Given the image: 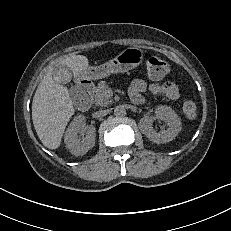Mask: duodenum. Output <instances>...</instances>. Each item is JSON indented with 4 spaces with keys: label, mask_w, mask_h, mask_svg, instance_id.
Instances as JSON below:
<instances>
[{
    "label": "duodenum",
    "mask_w": 231,
    "mask_h": 231,
    "mask_svg": "<svg viewBox=\"0 0 231 231\" xmlns=\"http://www.w3.org/2000/svg\"><path fill=\"white\" fill-rule=\"evenodd\" d=\"M81 97L80 105L81 108L86 110L90 106V99L94 92V84L90 80H83L80 82Z\"/></svg>",
    "instance_id": "duodenum-1"
}]
</instances>
